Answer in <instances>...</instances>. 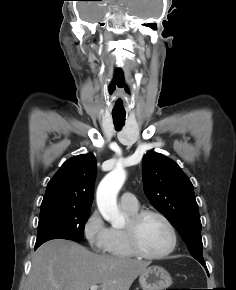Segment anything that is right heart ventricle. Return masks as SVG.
Returning a JSON list of instances; mask_svg holds the SVG:
<instances>
[{"instance_id":"right-heart-ventricle-1","label":"right heart ventricle","mask_w":236,"mask_h":290,"mask_svg":"<svg viewBox=\"0 0 236 290\" xmlns=\"http://www.w3.org/2000/svg\"><path fill=\"white\" fill-rule=\"evenodd\" d=\"M122 209L130 216L136 213L138 210V208L128 209L124 207H122ZM106 251L110 256L118 258H131L134 256L128 245L124 229L119 228L110 229V241Z\"/></svg>"}]
</instances>
